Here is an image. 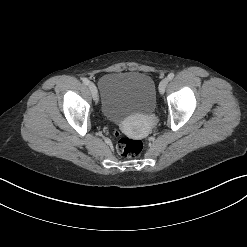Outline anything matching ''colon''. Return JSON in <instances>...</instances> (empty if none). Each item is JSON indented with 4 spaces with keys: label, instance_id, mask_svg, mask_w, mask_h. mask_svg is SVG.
<instances>
[{
    "label": "colon",
    "instance_id": "1",
    "mask_svg": "<svg viewBox=\"0 0 247 247\" xmlns=\"http://www.w3.org/2000/svg\"><path fill=\"white\" fill-rule=\"evenodd\" d=\"M118 136V133H115ZM143 150V143L137 139L120 138L117 143V151L124 157H136Z\"/></svg>",
    "mask_w": 247,
    "mask_h": 247
}]
</instances>
